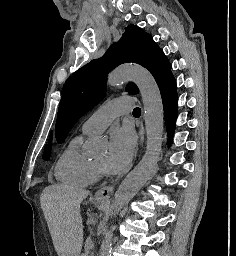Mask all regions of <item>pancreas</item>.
Listing matches in <instances>:
<instances>
[{
	"label": "pancreas",
	"mask_w": 236,
	"mask_h": 256,
	"mask_svg": "<svg viewBox=\"0 0 236 256\" xmlns=\"http://www.w3.org/2000/svg\"><path fill=\"white\" fill-rule=\"evenodd\" d=\"M96 220L95 219H88L87 224H95ZM92 238H87L86 242L83 243L84 249L85 250H92L94 247V242H92Z\"/></svg>",
	"instance_id": "1"
}]
</instances>
